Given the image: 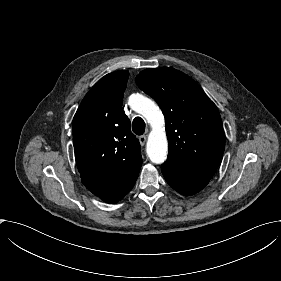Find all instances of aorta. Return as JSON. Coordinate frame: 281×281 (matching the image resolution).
Returning <instances> with one entry per match:
<instances>
[{
    "label": "aorta",
    "instance_id": "obj_1",
    "mask_svg": "<svg viewBox=\"0 0 281 281\" xmlns=\"http://www.w3.org/2000/svg\"><path fill=\"white\" fill-rule=\"evenodd\" d=\"M128 103L133 110L145 117L152 127L146 146L148 157L153 163H163L168 154V142L161 110L152 100L139 93L132 94Z\"/></svg>",
    "mask_w": 281,
    "mask_h": 281
}]
</instances>
